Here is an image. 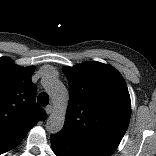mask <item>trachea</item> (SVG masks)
<instances>
[{
	"label": "trachea",
	"instance_id": "trachea-1",
	"mask_svg": "<svg viewBox=\"0 0 156 156\" xmlns=\"http://www.w3.org/2000/svg\"><path fill=\"white\" fill-rule=\"evenodd\" d=\"M37 102L41 106H47L49 103V96L46 92H41L37 97Z\"/></svg>",
	"mask_w": 156,
	"mask_h": 156
}]
</instances>
